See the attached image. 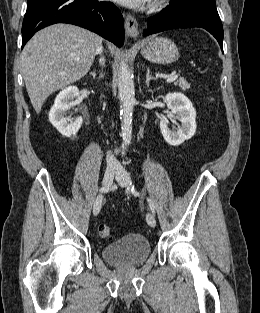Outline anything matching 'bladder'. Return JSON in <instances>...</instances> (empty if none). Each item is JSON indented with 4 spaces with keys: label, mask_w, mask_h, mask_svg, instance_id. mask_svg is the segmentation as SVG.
<instances>
[{
    "label": "bladder",
    "mask_w": 260,
    "mask_h": 313,
    "mask_svg": "<svg viewBox=\"0 0 260 313\" xmlns=\"http://www.w3.org/2000/svg\"><path fill=\"white\" fill-rule=\"evenodd\" d=\"M150 254V243L141 234L124 236L102 250L103 259L118 267L141 265Z\"/></svg>",
    "instance_id": "1"
}]
</instances>
